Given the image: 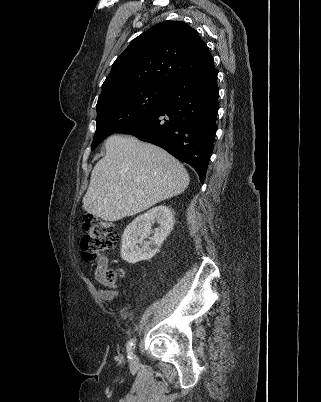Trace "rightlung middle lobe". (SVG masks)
I'll use <instances>...</instances> for the list:
<instances>
[{"mask_svg": "<svg viewBox=\"0 0 321 402\" xmlns=\"http://www.w3.org/2000/svg\"><path fill=\"white\" fill-rule=\"evenodd\" d=\"M166 90L165 86H145L114 93L98 102L92 150L112 133L158 108L165 100Z\"/></svg>", "mask_w": 321, "mask_h": 402, "instance_id": "right-lung-middle-lobe-1", "label": "right lung middle lobe"}]
</instances>
